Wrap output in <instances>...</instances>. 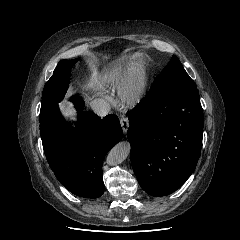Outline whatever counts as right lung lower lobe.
I'll use <instances>...</instances> for the list:
<instances>
[{"label":"right lung lower lobe","instance_id":"obj_1","mask_svg":"<svg viewBox=\"0 0 240 240\" xmlns=\"http://www.w3.org/2000/svg\"><path fill=\"white\" fill-rule=\"evenodd\" d=\"M79 112L75 128L62 117L59 107L40 122L43 149L50 168L71 193L86 198L104 192L102 164L105 155L122 139L116 115L103 119L92 111H82L84 101L71 99Z\"/></svg>","mask_w":240,"mask_h":240}]
</instances>
